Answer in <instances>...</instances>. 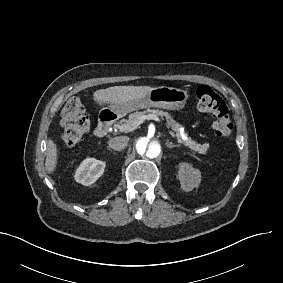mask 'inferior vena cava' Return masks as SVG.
Masks as SVG:
<instances>
[{"label":"inferior vena cava","mask_w":283,"mask_h":283,"mask_svg":"<svg viewBox=\"0 0 283 283\" xmlns=\"http://www.w3.org/2000/svg\"><path fill=\"white\" fill-rule=\"evenodd\" d=\"M127 142H128V137L125 136L114 137L109 140V147L116 151H120L126 147Z\"/></svg>","instance_id":"obj_1"}]
</instances>
